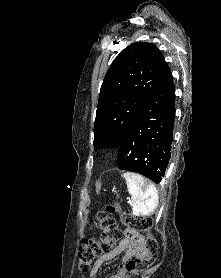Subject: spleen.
Listing matches in <instances>:
<instances>
[{"mask_svg":"<svg viewBox=\"0 0 221 278\" xmlns=\"http://www.w3.org/2000/svg\"><path fill=\"white\" fill-rule=\"evenodd\" d=\"M122 176L126 180L128 192L132 197L133 215L143 217L152 215L159 203L154 184L135 173L126 172Z\"/></svg>","mask_w":221,"mask_h":278,"instance_id":"obj_1","label":"spleen"}]
</instances>
